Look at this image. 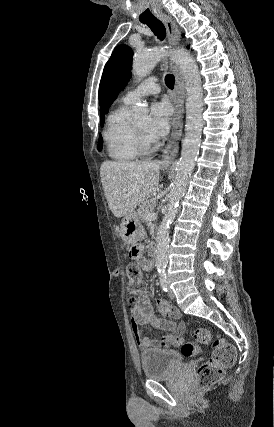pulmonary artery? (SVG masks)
Segmentation results:
<instances>
[{"instance_id":"1","label":"pulmonary artery","mask_w":274,"mask_h":427,"mask_svg":"<svg viewBox=\"0 0 274 427\" xmlns=\"http://www.w3.org/2000/svg\"><path fill=\"white\" fill-rule=\"evenodd\" d=\"M161 87L155 77H150L141 82L137 87L128 91L123 97V103L126 106L133 105L138 102L142 97L147 95L159 94Z\"/></svg>"}]
</instances>
